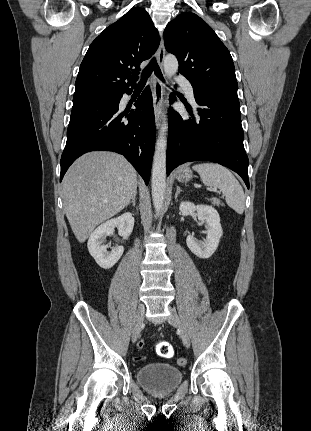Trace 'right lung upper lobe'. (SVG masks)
I'll use <instances>...</instances> for the list:
<instances>
[{
  "instance_id": "cb5924a9",
  "label": "right lung upper lobe",
  "mask_w": 311,
  "mask_h": 431,
  "mask_svg": "<svg viewBox=\"0 0 311 431\" xmlns=\"http://www.w3.org/2000/svg\"><path fill=\"white\" fill-rule=\"evenodd\" d=\"M159 33L143 8H133L90 45L74 96L120 93L134 86L140 63L158 48Z\"/></svg>"
}]
</instances>
